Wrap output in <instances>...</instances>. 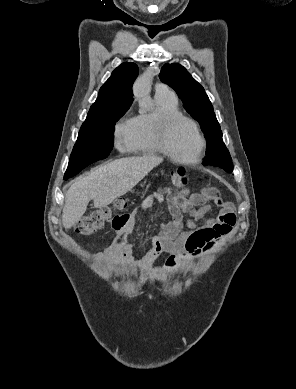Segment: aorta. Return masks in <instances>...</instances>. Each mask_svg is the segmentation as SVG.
Here are the masks:
<instances>
[{
	"mask_svg": "<svg viewBox=\"0 0 296 389\" xmlns=\"http://www.w3.org/2000/svg\"><path fill=\"white\" fill-rule=\"evenodd\" d=\"M153 71L148 70L141 75L133 86L135 97L141 102H148Z\"/></svg>",
	"mask_w": 296,
	"mask_h": 389,
	"instance_id": "762f6f07",
	"label": "aorta"
}]
</instances>
